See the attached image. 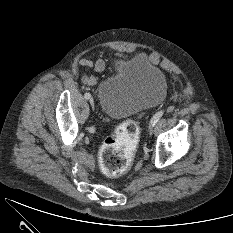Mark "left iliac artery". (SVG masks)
Masks as SVG:
<instances>
[{"instance_id": "obj_1", "label": "left iliac artery", "mask_w": 233, "mask_h": 233, "mask_svg": "<svg viewBox=\"0 0 233 233\" xmlns=\"http://www.w3.org/2000/svg\"><path fill=\"white\" fill-rule=\"evenodd\" d=\"M163 114H164L163 111L157 112V113L152 117V119H151V121H150V124L154 126V125L159 121V119L163 116Z\"/></svg>"}]
</instances>
